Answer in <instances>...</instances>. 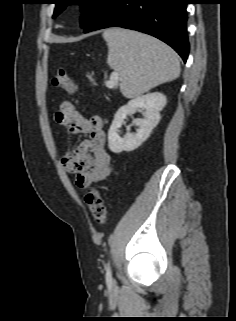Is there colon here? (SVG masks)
<instances>
[{
	"mask_svg": "<svg viewBox=\"0 0 236 321\" xmlns=\"http://www.w3.org/2000/svg\"><path fill=\"white\" fill-rule=\"evenodd\" d=\"M52 84L64 89L70 94H73L76 91V85L62 68L59 69L52 78ZM85 202L89 207L95 224L102 227L106 221V208L100 190L95 187H90L86 191Z\"/></svg>",
	"mask_w": 236,
	"mask_h": 321,
	"instance_id": "1",
	"label": "colon"
}]
</instances>
